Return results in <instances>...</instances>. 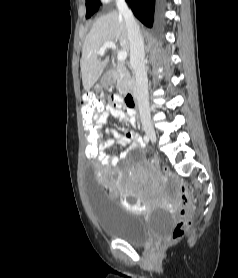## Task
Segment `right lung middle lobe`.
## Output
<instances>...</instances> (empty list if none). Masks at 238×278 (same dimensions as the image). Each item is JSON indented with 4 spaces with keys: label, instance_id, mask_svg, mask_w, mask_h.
<instances>
[{
    "label": "right lung middle lobe",
    "instance_id": "right-lung-middle-lobe-1",
    "mask_svg": "<svg viewBox=\"0 0 238 278\" xmlns=\"http://www.w3.org/2000/svg\"><path fill=\"white\" fill-rule=\"evenodd\" d=\"M99 0H87L86 18H90L99 8Z\"/></svg>",
    "mask_w": 238,
    "mask_h": 278
}]
</instances>
